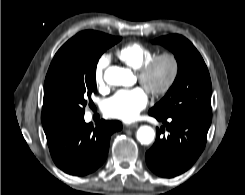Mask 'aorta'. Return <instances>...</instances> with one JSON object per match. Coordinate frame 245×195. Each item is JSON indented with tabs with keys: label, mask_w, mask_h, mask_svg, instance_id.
<instances>
[{
	"label": "aorta",
	"mask_w": 245,
	"mask_h": 195,
	"mask_svg": "<svg viewBox=\"0 0 245 195\" xmlns=\"http://www.w3.org/2000/svg\"><path fill=\"white\" fill-rule=\"evenodd\" d=\"M104 80L113 86H130L132 84L131 72L118 66L108 67L104 73ZM137 140L144 145H149L155 138V131L152 127L140 126L136 133Z\"/></svg>",
	"instance_id": "1"
}]
</instances>
